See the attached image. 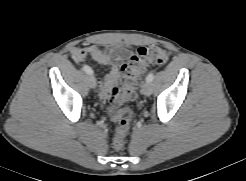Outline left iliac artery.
<instances>
[{
	"mask_svg": "<svg viewBox=\"0 0 246 181\" xmlns=\"http://www.w3.org/2000/svg\"><path fill=\"white\" fill-rule=\"evenodd\" d=\"M154 79V73H150L148 74V76L146 77V81L147 82H151Z\"/></svg>",
	"mask_w": 246,
	"mask_h": 181,
	"instance_id": "44dca946",
	"label": "left iliac artery"
}]
</instances>
